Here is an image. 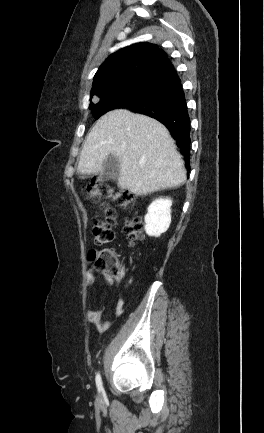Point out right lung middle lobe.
I'll list each match as a JSON object with an SVG mask.
<instances>
[{
  "label": "right lung middle lobe",
  "mask_w": 264,
  "mask_h": 433,
  "mask_svg": "<svg viewBox=\"0 0 264 433\" xmlns=\"http://www.w3.org/2000/svg\"><path fill=\"white\" fill-rule=\"evenodd\" d=\"M142 84L126 87L120 91H116L99 97V102L90 103L89 108L92 110L93 116L98 119L106 112L125 108V106L136 96Z\"/></svg>",
  "instance_id": "1"
}]
</instances>
